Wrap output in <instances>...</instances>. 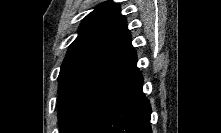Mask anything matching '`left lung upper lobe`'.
Listing matches in <instances>:
<instances>
[{
    "mask_svg": "<svg viewBox=\"0 0 221 133\" xmlns=\"http://www.w3.org/2000/svg\"><path fill=\"white\" fill-rule=\"evenodd\" d=\"M132 50L130 31L116 3H103L84 18L58 77L59 125L80 93Z\"/></svg>",
    "mask_w": 221,
    "mask_h": 133,
    "instance_id": "obj_1",
    "label": "left lung upper lobe"
}]
</instances>
